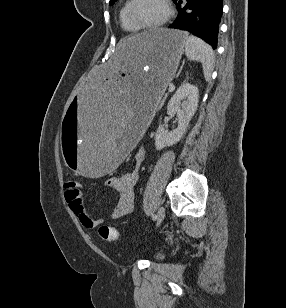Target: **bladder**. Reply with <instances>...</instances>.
<instances>
[{
	"label": "bladder",
	"instance_id": "31cf9c89",
	"mask_svg": "<svg viewBox=\"0 0 286 308\" xmlns=\"http://www.w3.org/2000/svg\"><path fill=\"white\" fill-rule=\"evenodd\" d=\"M154 257L156 259H161L163 257V253L161 251H158V252L155 253Z\"/></svg>",
	"mask_w": 286,
	"mask_h": 308
}]
</instances>
